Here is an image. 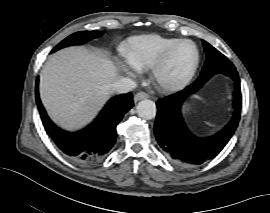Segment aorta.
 <instances>
[{"label":"aorta","mask_w":270,"mask_h":213,"mask_svg":"<svg viewBox=\"0 0 270 213\" xmlns=\"http://www.w3.org/2000/svg\"><path fill=\"white\" fill-rule=\"evenodd\" d=\"M136 109L138 116L146 120L154 118L157 111L155 103L149 99L141 100Z\"/></svg>","instance_id":"1"}]
</instances>
